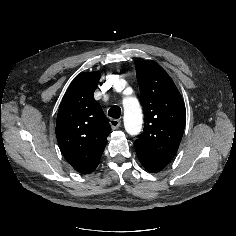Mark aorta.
<instances>
[{"mask_svg":"<svg viewBox=\"0 0 236 236\" xmlns=\"http://www.w3.org/2000/svg\"><path fill=\"white\" fill-rule=\"evenodd\" d=\"M124 127L128 134L136 135L142 129V111L139 102L134 97L123 100Z\"/></svg>","mask_w":236,"mask_h":236,"instance_id":"1","label":"aorta"}]
</instances>
